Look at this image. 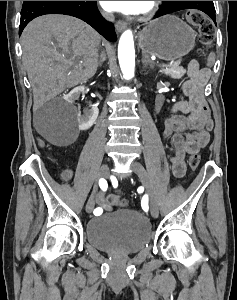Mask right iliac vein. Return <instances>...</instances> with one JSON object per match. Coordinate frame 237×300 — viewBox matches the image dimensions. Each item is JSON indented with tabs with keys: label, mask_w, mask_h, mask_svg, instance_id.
<instances>
[{
	"label": "right iliac vein",
	"mask_w": 237,
	"mask_h": 300,
	"mask_svg": "<svg viewBox=\"0 0 237 300\" xmlns=\"http://www.w3.org/2000/svg\"><path fill=\"white\" fill-rule=\"evenodd\" d=\"M108 171H109V166L107 164H104L99 173H98V177L99 178H106L108 175ZM96 191H97V184L94 186L93 189V193L90 196L87 204H86V212H91L93 210V208L95 207L96 204Z\"/></svg>",
	"instance_id": "63e3f726"
}]
</instances>
